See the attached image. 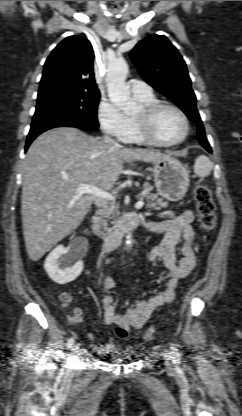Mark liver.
Masks as SVG:
<instances>
[{"mask_svg":"<svg viewBox=\"0 0 242 416\" xmlns=\"http://www.w3.org/2000/svg\"><path fill=\"white\" fill-rule=\"evenodd\" d=\"M170 155L106 144L77 128L59 127L38 136L28 149L22 188L26 250L38 261L83 221L92 195L78 194L79 184L111 190L124 163H146Z\"/></svg>","mask_w":242,"mask_h":416,"instance_id":"obj_1","label":"liver"}]
</instances>
